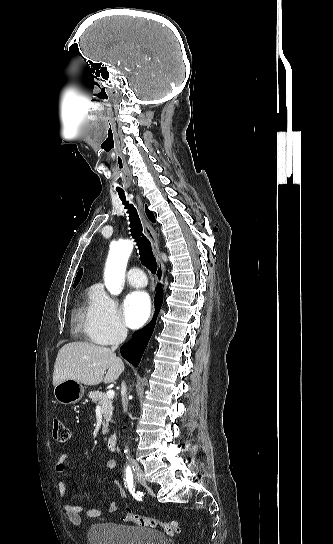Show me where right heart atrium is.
Returning a JSON list of instances; mask_svg holds the SVG:
<instances>
[{"label": "right heart atrium", "mask_w": 333, "mask_h": 544, "mask_svg": "<svg viewBox=\"0 0 333 544\" xmlns=\"http://www.w3.org/2000/svg\"><path fill=\"white\" fill-rule=\"evenodd\" d=\"M82 328L91 341L100 345L119 343L127 336L116 300L100 289L92 293Z\"/></svg>", "instance_id": "right-heart-atrium-1"}]
</instances>
